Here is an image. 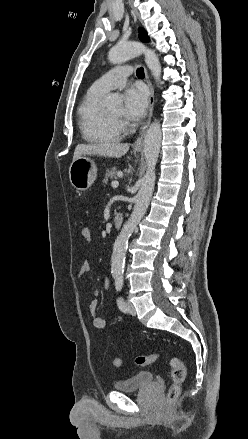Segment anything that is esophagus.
I'll return each instance as SVG.
<instances>
[{"label":"esophagus","instance_id":"34e87169","mask_svg":"<svg viewBox=\"0 0 248 439\" xmlns=\"http://www.w3.org/2000/svg\"><path fill=\"white\" fill-rule=\"evenodd\" d=\"M145 77H146V83H147L148 88H149V115H148V119H147L146 123L141 128V131H140L138 138L136 139V141L133 144V147L135 149H138V150L142 149V147H143L145 132H146V130L149 126V123L151 121V117L153 114V108H154V89H153V85L149 79V76H148L146 69H145Z\"/></svg>","mask_w":248,"mask_h":439}]
</instances>
